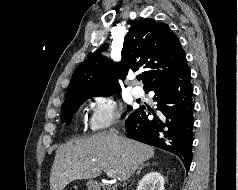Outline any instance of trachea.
I'll list each match as a JSON object with an SVG mask.
<instances>
[{
  "instance_id": "obj_1",
  "label": "trachea",
  "mask_w": 238,
  "mask_h": 190,
  "mask_svg": "<svg viewBox=\"0 0 238 190\" xmlns=\"http://www.w3.org/2000/svg\"><path fill=\"white\" fill-rule=\"evenodd\" d=\"M137 78H138V80H141V79H142V76H138Z\"/></svg>"
}]
</instances>
